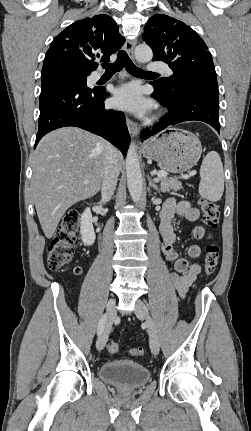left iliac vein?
I'll return each instance as SVG.
<instances>
[{
  "label": "left iliac vein",
  "mask_w": 251,
  "mask_h": 431,
  "mask_svg": "<svg viewBox=\"0 0 251 431\" xmlns=\"http://www.w3.org/2000/svg\"><path fill=\"white\" fill-rule=\"evenodd\" d=\"M135 314L138 318L144 319L147 323L150 348L154 355H157L160 350L159 338L156 325L149 314L147 306L143 301L137 300L135 303Z\"/></svg>",
  "instance_id": "4c4485c4"
}]
</instances>
